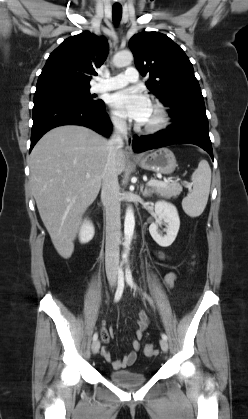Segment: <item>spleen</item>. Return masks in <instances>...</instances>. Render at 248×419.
<instances>
[{
	"label": "spleen",
	"mask_w": 248,
	"mask_h": 419,
	"mask_svg": "<svg viewBox=\"0 0 248 419\" xmlns=\"http://www.w3.org/2000/svg\"><path fill=\"white\" fill-rule=\"evenodd\" d=\"M193 190L183 199L182 207L190 217H197L204 211L210 192L211 169L206 160H201L191 176Z\"/></svg>",
	"instance_id": "1"
}]
</instances>
